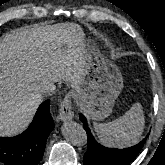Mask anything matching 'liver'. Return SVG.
Wrapping results in <instances>:
<instances>
[{
	"mask_svg": "<svg viewBox=\"0 0 165 165\" xmlns=\"http://www.w3.org/2000/svg\"><path fill=\"white\" fill-rule=\"evenodd\" d=\"M84 34L74 23L7 34L0 42V136L23 131L41 102L44 82L79 88L86 74ZM67 44V53L61 47Z\"/></svg>",
	"mask_w": 165,
	"mask_h": 165,
	"instance_id": "6515ba94",
	"label": "liver"
}]
</instances>
